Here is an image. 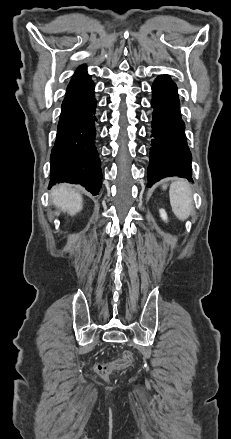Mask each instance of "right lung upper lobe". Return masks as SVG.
I'll return each mask as SVG.
<instances>
[{
    "instance_id": "right-lung-upper-lobe-1",
    "label": "right lung upper lobe",
    "mask_w": 231,
    "mask_h": 439,
    "mask_svg": "<svg viewBox=\"0 0 231 439\" xmlns=\"http://www.w3.org/2000/svg\"><path fill=\"white\" fill-rule=\"evenodd\" d=\"M88 77H90V76H89V75L87 74V72H86V66L81 65V66L77 69L76 73L74 74V76H73L71 82L69 83L68 87H70V86H72V85H74V84H77V83H79V82L85 80V79L88 78Z\"/></svg>"
}]
</instances>
